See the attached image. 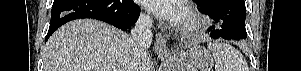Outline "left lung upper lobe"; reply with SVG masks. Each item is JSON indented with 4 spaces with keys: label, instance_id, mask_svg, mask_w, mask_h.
Segmentation results:
<instances>
[{
    "label": "left lung upper lobe",
    "instance_id": "obj_1",
    "mask_svg": "<svg viewBox=\"0 0 301 71\" xmlns=\"http://www.w3.org/2000/svg\"><path fill=\"white\" fill-rule=\"evenodd\" d=\"M193 1L196 2V3L199 4V5L205 6V5H207V3H208L210 0H193Z\"/></svg>",
    "mask_w": 301,
    "mask_h": 71
}]
</instances>
